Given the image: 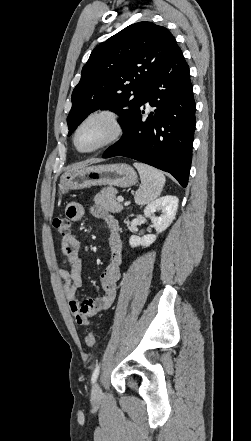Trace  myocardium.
<instances>
[{
    "mask_svg": "<svg viewBox=\"0 0 251 441\" xmlns=\"http://www.w3.org/2000/svg\"><path fill=\"white\" fill-rule=\"evenodd\" d=\"M97 118H102L105 119L109 122V124L111 125V133L110 135L103 140L100 144H98L97 146L87 149V150H83L79 147L78 145V135L79 132L81 131V129L91 120L97 119ZM124 133V127H123V123L121 121V118L119 116L118 113H116L115 111L111 110V109H97L94 111H91L90 113H88L78 124V126L75 129L74 132V136H73V142H74V146L76 147V149L81 152V153H94L97 151H100L112 144H114L115 142H117Z\"/></svg>",
    "mask_w": 251,
    "mask_h": 441,
    "instance_id": "obj_1",
    "label": "myocardium"
}]
</instances>
